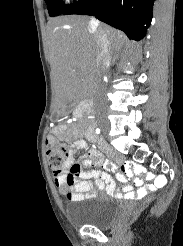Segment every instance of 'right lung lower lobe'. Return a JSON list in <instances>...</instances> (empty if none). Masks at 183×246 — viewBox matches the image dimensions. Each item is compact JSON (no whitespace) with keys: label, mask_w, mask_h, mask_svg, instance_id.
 <instances>
[{"label":"right lung lower lobe","mask_w":183,"mask_h":246,"mask_svg":"<svg viewBox=\"0 0 183 246\" xmlns=\"http://www.w3.org/2000/svg\"><path fill=\"white\" fill-rule=\"evenodd\" d=\"M155 0H80L63 15L86 14L117 29L133 40H141L149 27Z\"/></svg>","instance_id":"right-lung-lower-lobe-1"}]
</instances>
